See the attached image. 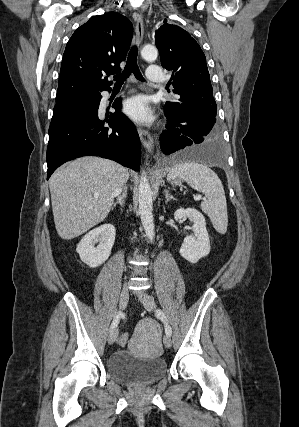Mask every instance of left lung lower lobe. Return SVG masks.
Segmentation results:
<instances>
[{
  "instance_id": "obj_1",
  "label": "left lung lower lobe",
  "mask_w": 299,
  "mask_h": 427,
  "mask_svg": "<svg viewBox=\"0 0 299 427\" xmlns=\"http://www.w3.org/2000/svg\"><path fill=\"white\" fill-rule=\"evenodd\" d=\"M164 112L168 131L161 135L160 147L165 155L211 164L224 163L221 133L209 105L178 100L172 108H164Z\"/></svg>"
}]
</instances>
